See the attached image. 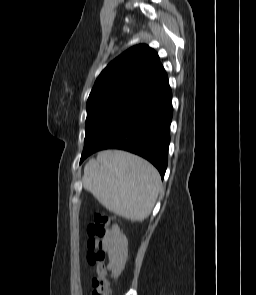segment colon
<instances>
[{"label":"colon","instance_id":"5ec220e1","mask_svg":"<svg viewBox=\"0 0 256 295\" xmlns=\"http://www.w3.org/2000/svg\"><path fill=\"white\" fill-rule=\"evenodd\" d=\"M111 222L110 216L105 213H95L92 222L87 226L88 252L87 261L95 267V276L92 280V295H111L108 269L106 266L107 254L104 249L103 238Z\"/></svg>","mask_w":256,"mask_h":295}]
</instances>
